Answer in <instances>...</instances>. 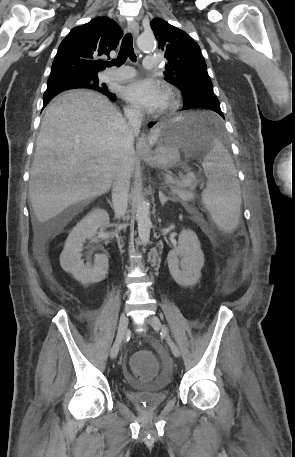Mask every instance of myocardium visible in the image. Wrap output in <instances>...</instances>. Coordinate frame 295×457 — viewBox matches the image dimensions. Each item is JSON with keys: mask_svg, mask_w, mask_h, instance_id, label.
<instances>
[{"mask_svg": "<svg viewBox=\"0 0 295 457\" xmlns=\"http://www.w3.org/2000/svg\"><path fill=\"white\" fill-rule=\"evenodd\" d=\"M164 92L166 95V102L158 111L159 115L171 113L180 106V94L175 88L165 86Z\"/></svg>", "mask_w": 295, "mask_h": 457, "instance_id": "1", "label": "myocardium"}]
</instances>
